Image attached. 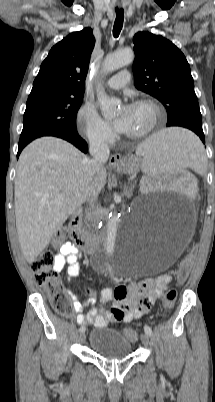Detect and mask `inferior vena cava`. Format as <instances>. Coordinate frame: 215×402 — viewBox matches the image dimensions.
<instances>
[{
    "label": "inferior vena cava",
    "instance_id": "1",
    "mask_svg": "<svg viewBox=\"0 0 215 402\" xmlns=\"http://www.w3.org/2000/svg\"><path fill=\"white\" fill-rule=\"evenodd\" d=\"M89 152L92 156L90 160L92 173L98 175L109 158L110 150L107 140L105 138L90 139ZM98 194V192L94 191L92 196L88 199L89 207L86 212V218L93 223H96L99 218L98 205L96 206Z\"/></svg>",
    "mask_w": 215,
    "mask_h": 402
}]
</instances>
